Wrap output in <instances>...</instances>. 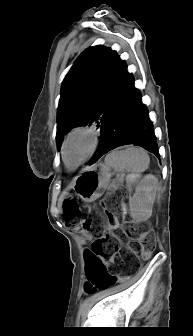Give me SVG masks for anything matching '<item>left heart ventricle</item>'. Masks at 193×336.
Masks as SVG:
<instances>
[{"mask_svg": "<svg viewBox=\"0 0 193 336\" xmlns=\"http://www.w3.org/2000/svg\"><path fill=\"white\" fill-rule=\"evenodd\" d=\"M91 145L90 137L84 134L74 136L66 147V159L70 165L81 161L89 151Z\"/></svg>", "mask_w": 193, "mask_h": 336, "instance_id": "1", "label": "left heart ventricle"}]
</instances>
